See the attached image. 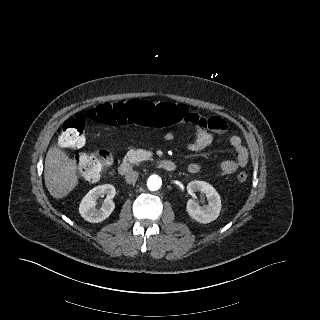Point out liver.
Segmentation results:
<instances>
[{"mask_svg":"<svg viewBox=\"0 0 320 320\" xmlns=\"http://www.w3.org/2000/svg\"><path fill=\"white\" fill-rule=\"evenodd\" d=\"M45 185L53 198L67 196L78 184V177L67 154L60 148L50 147L45 158Z\"/></svg>","mask_w":320,"mask_h":320,"instance_id":"obj_1","label":"liver"}]
</instances>
